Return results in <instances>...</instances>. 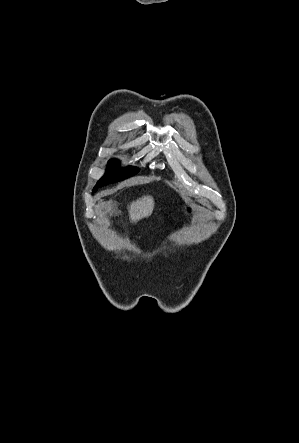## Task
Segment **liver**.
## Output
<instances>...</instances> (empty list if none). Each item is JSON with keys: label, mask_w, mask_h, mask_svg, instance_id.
<instances>
[{"label": "liver", "mask_w": 299, "mask_h": 443, "mask_svg": "<svg viewBox=\"0 0 299 443\" xmlns=\"http://www.w3.org/2000/svg\"><path fill=\"white\" fill-rule=\"evenodd\" d=\"M110 214L117 215L120 211H117L116 202L110 204L108 207ZM154 209V199L152 196H143L136 201H133L128 206L129 218L131 222H137L142 218L149 217Z\"/></svg>", "instance_id": "liver-1"}]
</instances>
